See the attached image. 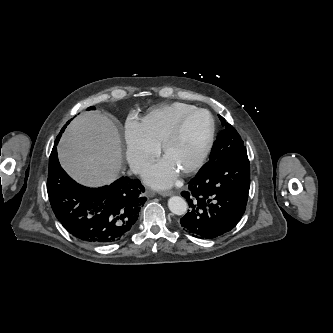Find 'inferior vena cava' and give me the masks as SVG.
<instances>
[{"mask_svg": "<svg viewBox=\"0 0 333 333\" xmlns=\"http://www.w3.org/2000/svg\"><path fill=\"white\" fill-rule=\"evenodd\" d=\"M129 167L130 172H132L133 174H140L144 166L138 162H131Z\"/></svg>", "mask_w": 333, "mask_h": 333, "instance_id": "602c4592", "label": "inferior vena cava"}]
</instances>
